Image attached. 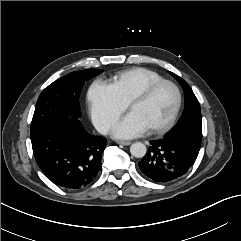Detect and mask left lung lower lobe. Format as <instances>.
Wrapping results in <instances>:
<instances>
[{
  "instance_id": "0a47b994",
  "label": "left lung lower lobe",
  "mask_w": 241,
  "mask_h": 241,
  "mask_svg": "<svg viewBox=\"0 0 241 241\" xmlns=\"http://www.w3.org/2000/svg\"><path fill=\"white\" fill-rule=\"evenodd\" d=\"M150 144L138 165L143 174L155 182L165 183L180 178L197 158L173 140H153Z\"/></svg>"
}]
</instances>
